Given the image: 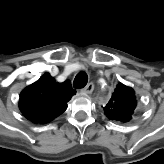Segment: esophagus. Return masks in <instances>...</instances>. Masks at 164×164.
<instances>
[{
  "mask_svg": "<svg viewBox=\"0 0 164 164\" xmlns=\"http://www.w3.org/2000/svg\"><path fill=\"white\" fill-rule=\"evenodd\" d=\"M94 90V84L93 83H89L85 86V88L82 89V91L86 94H91Z\"/></svg>",
  "mask_w": 164,
  "mask_h": 164,
  "instance_id": "34e87169",
  "label": "esophagus"
}]
</instances>
